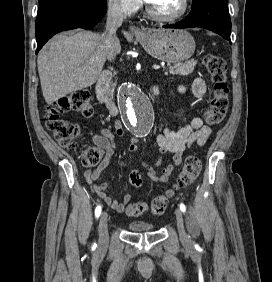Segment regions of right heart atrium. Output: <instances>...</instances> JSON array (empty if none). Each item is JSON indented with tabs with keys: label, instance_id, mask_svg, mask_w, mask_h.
<instances>
[{
	"label": "right heart atrium",
	"instance_id": "obj_1",
	"mask_svg": "<svg viewBox=\"0 0 272 282\" xmlns=\"http://www.w3.org/2000/svg\"><path fill=\"white\" fill-rule=\"evenodd\" d=\"M109 11L117 16H127L139 8L138 0H107Z\"/></svg>",
	"mask_w": 272,
	"mask_h": 282
}]
</instances>
